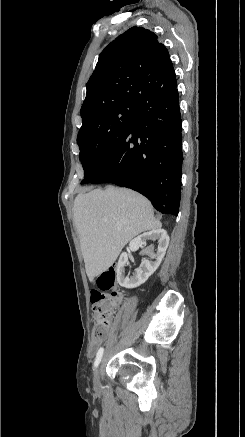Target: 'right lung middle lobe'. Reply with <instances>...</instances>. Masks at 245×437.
<instances>
[{"instance_id": "obj_1", "label": "right lung middle lobe", "mask_w": 245, "mask_h": 437, "mask_svg": "<svg viewBox=\"0 0 245 437\" xmlns=\"http://www.w3.org/2000/svg\"><path fill=\"white\" fill-rule=\"evenodd\" d=\"M135 109L134 104H115L100 109L83 121L77 136L79 158L84 169L82 184L114 150Z\"/></svg>"}]
</instances>
